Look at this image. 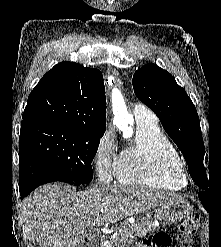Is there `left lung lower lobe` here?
<instances>
[{
	"instance_id": "0a47b994",
	"label": "left lung lower lobe",
	"mask_w": 221,
	"mask_h": 247,
	"mask_svg": "<svg viewBox=\"0 0 221 247\" xmlns=\"http://www.w3.org/2000/svg\"><path fill=\"white\" fill-rule=\"evenodd\" d=\"M198 196H199L203 206L206 208L207 205H208V201H209V192H208V190L198 193Z\"/></svg>"
}]
</instances>
